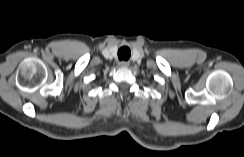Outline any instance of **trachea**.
<instances>
[{
	"instance_id": "1",
	"label": "trachea",
	"mask_w": 244,
	"mask_h": 157,
	"mask_svg": "<svg viewBox=\"0 0 244 157\" xmlns=\"http://www.w3.org/2000/svg\"><path fill=\"white\" fill-rule=\"evenodd\" d=\"M130 55V49L126 46L121 47L118 51V58L120 60H128L130 58Z\"/></svg>"
}]
</instances>
